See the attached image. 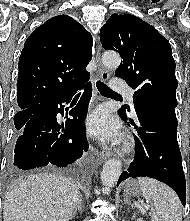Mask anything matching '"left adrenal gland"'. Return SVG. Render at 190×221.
I'll list each match as a JSON object with an SVG mask.
<instances>
[{"mask_svg":"<svg viewBox=\"0 0 190 221\" xmlns=\"http://www.w3.org/2000/svg\"><path fill=\"white\" fill-rule=\"evenodd\" d=\"M124 204H128V205H131V206H132L129 197H128L126 194L124 195Z\"/></svg>","mask_w":190,"mask_h":221,"instance_id":"a2214340","label":"left adrenal gland"}]
</instances>
